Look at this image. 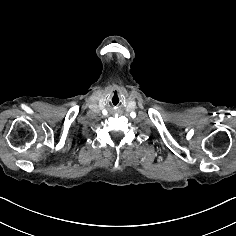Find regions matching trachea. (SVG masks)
<instances>
[{
	"mask_svg": "<svg viewBox=\"0 0 236 236\" xmlns=\"http://www.w3.org/2000/svg\"><path fill=\"white\" fill-rule=\"evenodd\" d=\"M122 104V99L120 96L113 94L110 96L109 100H108V105L110 108L112 109H117L121 106Z\"/></svg>",
	"mask_w": 236,
	"mask_h": 236,
	"instance_id": "3493384b",
	"label": "trachea"
}]
</instances>
